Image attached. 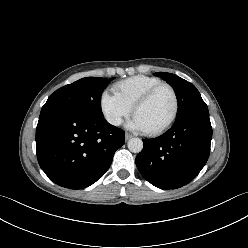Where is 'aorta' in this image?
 I'll return each instance as SVG.
<instances>
[{"mask_svg":"<svg viewBox=\"0 0 248 248\" xmlns=\"http://www.w3.org/2000/svg\"><path fill=\"white\" fill-rule=\"evenodd\" d=\"M128 149L133 153H139L143 149V142L139 138H131L128 143Z\"/></svg>","mask_w":248,"mask_h":248,"instance_id":"obj_1","label":"aorta"}]
</instances>
